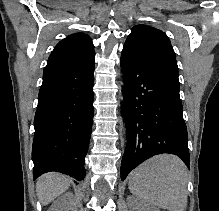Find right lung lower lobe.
Here are the masks:
<instances>
[{
	"mask_svg": "<svg viewBox=\"0 0 219 211\" xmlns=\"http://www.w3.org/2000/svg\"><path fill=\"white\" fill-rule=\"evenodd\" d=\"M94 67L93 59L44 68L34 119V179L49 171L84 179L94 112Z\"/></svg>",
	"mask_w": 219,
	"mask_h": 211,
	"instance_id": "right-lung-lower-lobe-1",
	"label": "right lung lower lobe"
}]
</instances>
